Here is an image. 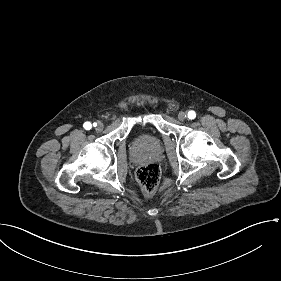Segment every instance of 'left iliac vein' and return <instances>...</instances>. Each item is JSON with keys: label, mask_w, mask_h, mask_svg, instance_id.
<instances>
[{"label": "left iliac vein", "mask_w": 281, "mask_h": 281, "mask_svg": "<svg viewBox=\"0 0 281 281\" xmlns=\"http://www.w3.org/2000/svg\"><path fill=\"white\" fill-rule=\"evenodd\" d=\"M186 118H187V114L185 112H183V111L179 112L178 119L180 121H184V120H186Z\"/></svg>", "instance_id": "4c4485c4"}]
</instances>
